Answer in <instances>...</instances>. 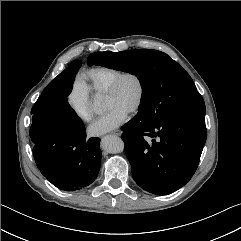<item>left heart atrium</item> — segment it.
<instances>
[{"label": "left heart atrium", "mask_w": 241, "mask_h": 241, "mask_svg": "<svg viewBox=\"0 0 241 241\" xmlns=\"http://www.w3.org/2000/svg\"><path fill=\"white\" fill-rule=\"evenodd\" d=\"M127 112L118 107L110 108L106 114L100 117L91 127L89 133L92 136H100L108 133L125 122Z\"/></svg>", "instance_id": "1"}]
</instances>
